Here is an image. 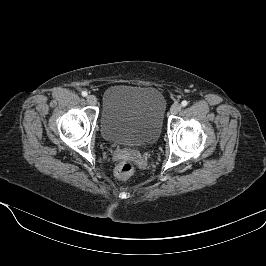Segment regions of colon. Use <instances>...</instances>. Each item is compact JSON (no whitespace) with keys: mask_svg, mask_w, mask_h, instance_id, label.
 <instances>
[{"mask_svg":"<svg viewBox=\"0 0 266 266\" xmlns=\"http://www.w3.org/2000/svg\"><path fill=\"white\" fill-rule=\"evenodd\" d=\"M135 170V164L131 159H124L115 168V176L120 180L130 177Z\"/></svg>","mask_w":266,"mask_h":266,"instance_id":"colon-1","label":"colon"}]
</instances>
